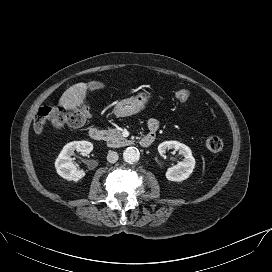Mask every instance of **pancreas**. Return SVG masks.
I'll return each instance as SVG.
<instances>
[{
    "label": "pancreas",
    "mask_w": 272,
    "mask_h": 272,
    "mask_svg": "<svg viewBox=\"0 0 272 272\" xmlns=\"http://www.w3.org/2000/svg\"><path fill=\"white\" fill-rule=\"evenodd\" d=\"M105 134V140L107 141V145L109 147L118 148L129 143V141L122 136L118 129H108L106 130Z\"/></svg>",
    "instance_id": "cf45deb5"
}]
</instances>
